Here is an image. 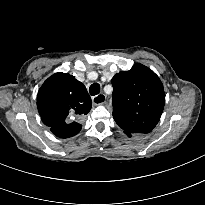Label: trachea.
Here are the masks:
<instances>
[{
  "mask_svg": "<svg viewBox=\"0 0 205 205\" xmlns=\"http://www.w3.org/2000/svg\"><path fill=\"white\" fill-rule=\"evenodd\" d=\"M89 92L92 96H95V95L99 94L100 85L98 83H93L89 88Z\"/></svg>",
  "mask_w": 205,
  "mask_h": 205,
  "instance_id": "3493384b",
  "label": "trachea"
}]
</instances>
